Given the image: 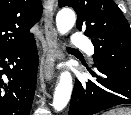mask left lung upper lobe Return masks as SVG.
<instances>
[{
	"mask_svg": "<svg viewBox=\"0 0 131 115\" xmlns=\"http://www.w3.org/2000/svg\"><path fill=\"white\" fill-rule=\"evenodd\" d=\"M72 7L76 27L85 30L94 45L95 66L131 75V29L113 0H59Z\"/></svg>",
	"mask_w": 131,
	"mask_h": 115,
	"instance_id": "5c2ea615",
	"label": "left lung upper lobe"
}]
</instances>
